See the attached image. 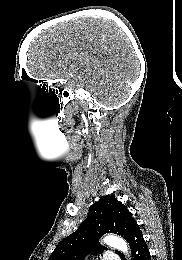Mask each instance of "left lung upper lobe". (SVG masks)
<instances>
[{"label": "left lung upper lobe", "instance_id": "left-lung-upper-lobe-1", "mask_svg": "<svg viewBox=\"0 0 182 260\" xmlns=\"http://www.w3.org/2000/svg\"><path fill=\"white\" fill-rule=\"evenodd\" d=\"M137 226L125 205L114 196H103L90 206L89 214L80 227L56 246L49 260H83L88 254L105 249L99 244L103 234L117 233L128 240Z\"/></svg>", "mask_w": 182, "mask_h": 260}]
</instances>
